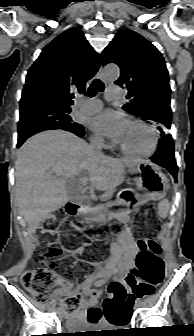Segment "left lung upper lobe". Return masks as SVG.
Listing matches in <instances>:
<instances>
[{
  "label": "left lung upper lobe",
  "mask_w": 194,
  "mask_h": 336,
  "mask_svg": "<svg viewBox=\"0 0 194 336\" xmlns=\"http://www.w3.org/2000/svg\"><path fill=\"white\" fill-rule=\"evenodd\" d=\"M102 65L115 63L121 69L115 84L127 89L123 109L158 126L162 135L171 127L169 76L162 54L140 34L120 30L102 53Z\"/></svg>",
  "instance_id": "obj_1"
}]
</instances>
